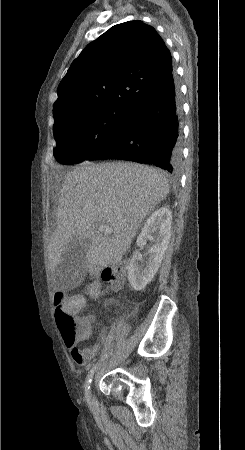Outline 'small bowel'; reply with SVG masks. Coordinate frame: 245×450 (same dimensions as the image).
<instances>
[{"mask_svg":"<svg viewBox=\"0 0 245 450\" xmlns=\"http://www.w3.org/2000/svg\"><path fill=\"white\" fill-rule=\"evenodd\" d=\"M65 307V305H63ZM79 320L87 321L88 323L92 324L95 321V316L93 314H89L86 316H82L78 318ZM106 332L104 329L100 330L97 335L96 342L93 346L90 347H81L80 343L74 342L73 344H67V347L69 349L70 356L76 362L77 364H86L88 361H90L92 358H94L96 352L98 349H100L103 344L105 343L106 339Z\"/></svg>","mask_w":245,"mask_h":450,"instance_id":"1","label":"small bowel"}]
</instances>
